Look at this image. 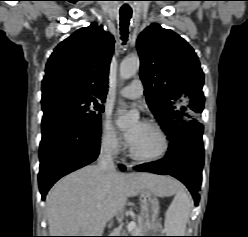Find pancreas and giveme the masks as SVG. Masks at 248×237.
I'll use <instances>...</instances> for the list:
<instances>
[{"instance_id":"pancreas-1","label":"pancreas","mask_w":248,"mask_h":237,"mask_svg":"<svg viewBox=\"0 0 248 237\" xmlns=\"http://www.w3.org/2000/svg\"><path fill=\"white\" fill-rule=\"evenodd\" d=\"M136 227L132 231L133 235L140 236L146 232V228L149 226V222L145 220L142 216L137 217Z\"/></svg>"}]
</instances>
